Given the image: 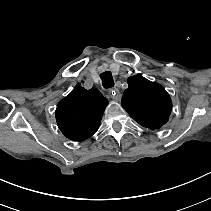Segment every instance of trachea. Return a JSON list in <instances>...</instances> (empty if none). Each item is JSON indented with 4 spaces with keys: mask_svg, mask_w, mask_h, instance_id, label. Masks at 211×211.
Wrapping results in <instances>:
<instances>
[{
    "mask_svg": "<svg viewBox=\"0 0 211 211\" xmlns=\"http://www.w3.org/2000/svg\"><path fill=\"white\" fill-rule=\"evenodd\" d=\"M100 78L102 80V85H103L104 88H110V87L114 86L112 73L109 70H104L100 74Z\"/></svg>",
    "mask_w": 211,
    "mask_h": 211,
    "instance_id": "trachea-1",
    "label": "trachea"
}]
</instances>
